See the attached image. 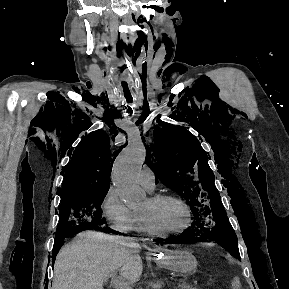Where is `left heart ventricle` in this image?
<instances>
[{
  "label": "left heart ventricle",
  "instance_id": "1",
  "mask_svg": "<svg viewBox=\"0 0 289 289\" xmlns=\"http://www.w3.org/2000/svg\"><path fill=\"white\" fill-rule=\"evenodd\" d=\"M139 212L146 215L152 225L161 231H176L187 223L186 211L173 200L154 203L147 198Z\"/></svg>",
  "mask_w": 289,
  "mask_h": 289
}]
</instances>
